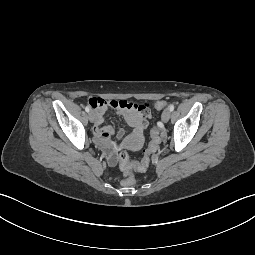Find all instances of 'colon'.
<instances>
[{
	"label": "colon",
	"instance_id": "colon-1",
	"mask_svg": "<svg viewBox=\"0 0 255 255\" xmlns=\"http://www.w3.org/2000/svg\"><path fill=\"white\" fill-rule=\"evenodd\" d=\"M166 106V103L159 101L155 103L157 109H162ZM152 140L145 151L144 157L140 163H134L130 161L128 155L124 152L118 156L119 165L123 171V179L121 185L124 187H132L136 183L135 174L137 171H145L149 165L150 157L156 152L161 141L160 130L157 127H153Z\"/></svg>",
	"mask_w": 255,
	"mask_h": 255
}]
</instances>
